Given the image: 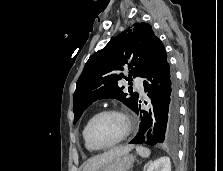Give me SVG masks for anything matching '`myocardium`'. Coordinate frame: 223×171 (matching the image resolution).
Listing matches in <instances>:
<instances>
[{
    "label": "myocardium",
    "mask_w": 223,
    "mask_h": 171,
    "mask_svg": "<svg viewBox=\"0 0 223 171\" xmlns=\"http://www.w3.org/2000/svg\"><path fill=\"white\" fill-rule=\"evenodd\" d=\"M110 114L118 115L124 120L125 131L122 134V136L119 139H117L115 142H113L109 145H104V146L97 145L96 143H94V141L91 138V128H92L94 122L98 118H100L104 115H110ZM131 130H132V121H131L130 116L126 112H124L123 110L110 108V109L102 110V111L96 113L94 116H92L90 118V120L88 121L87 126H86L85 136H86V140H87L88 144L94 150H105V149L112 148V147L118 145L119 143H121L122 141H124L129 136V134L131 133Z\"/></svg>",
    "instance_id": "f54148a6"
}]
</instances>
